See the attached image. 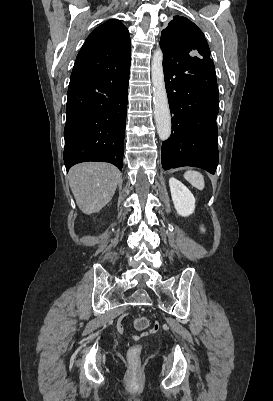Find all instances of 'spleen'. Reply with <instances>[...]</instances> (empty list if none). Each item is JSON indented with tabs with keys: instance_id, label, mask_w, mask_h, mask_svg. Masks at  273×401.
<instances>
[{
	"instance_id": "obj_1",
	"label": "spleen",
	"mask_w": 273,
	"mask_h": 401,
	"mask_svg": "<svg viewBox=\"0 0 273 401\" xmlns=\"http://www.w3.org/2000/svg\"><path fill=\"white\" fill-rule=\"evenodd\" d=\"M184 176L188 182L193 184V186H196V188H199V190H203L205 182L204 176L201 174V172H197V170H187Z\"/></svg>"
}]
</instances>
